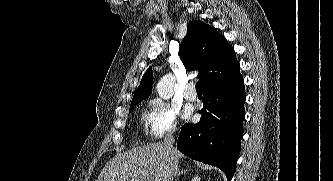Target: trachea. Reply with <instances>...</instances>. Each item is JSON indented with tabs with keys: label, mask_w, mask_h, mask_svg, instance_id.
I'll list each match as a JSON object with an SVG mask.
<instances>
[{
	"label": "trachea",
	"mask_w": 333,
	"mask_h": 181,
	"mask_svg": "<svg viewBox=\"0 0 333 181\" xmlns=\"http://www.w3.org/2000/svg\"><path fill=\"white\" fill-rule=\"evenodd\" d=\"M195 88L197 92H201V86L199 81L196 83Z\"/></svg>",
	"instance_id": "trachea-1"
}]
</instances>
